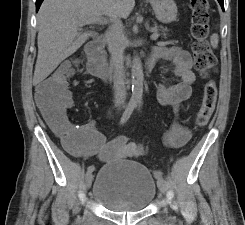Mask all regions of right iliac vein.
<instances>
[{
    "instance_id": "obj_1",
    "label": "right iliac vein",
    "mask_w": 245,
    "mask_h": 225,
    "mask_svg": "<svg viewBox=\"0 0 245 225\" xmlns=\"http://www.w3.org/2000/svg\"><path fill=\"white\" fill-rule=\"evenodd\" d=\"M92 181H93V174L92 172H88L85 176V185L87 188L91 187Z\"/></svg>"
}]
</instances>
